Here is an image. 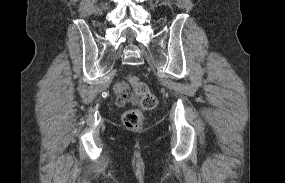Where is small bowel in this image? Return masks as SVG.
<instances>
[{"label":"small bowel","mask_w":285,"mask_h":183,"mask_svg":"<svg viewBox=\"0 0 285 183\" xmlns=\"http://www.w3.org/2000/svg\"><path fill=\"white\" fill-rule=\"evenodd\" d=\"M113 91L116 95V103L118 106H126L131 101L128 85L124 81L116 82Z\"/></svg>","instance_id":"obj_1"}]
</instances>
